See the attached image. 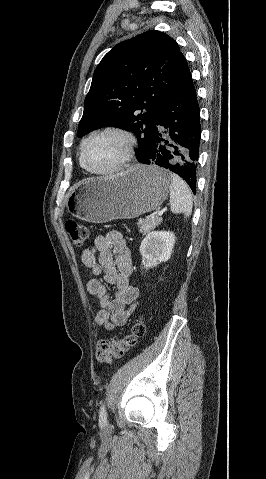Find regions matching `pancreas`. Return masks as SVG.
<instances>
[{"label":"pancreas","instance_id":"cf45deb5","mask_svg":"<svg viewBox=\"0 0 266 479\" xmlns=\"http://www.w3.org/2000/svg\"><path fill=\"white\" fill-rule=\"evenodd\" d=\"M162 222V218L155 217V218H145L138 220V227L139 232L142 234H146L151 230L155 229L160 223Z\"/></svg>","mask_w":266,"mask_h":479}]
</instances>
